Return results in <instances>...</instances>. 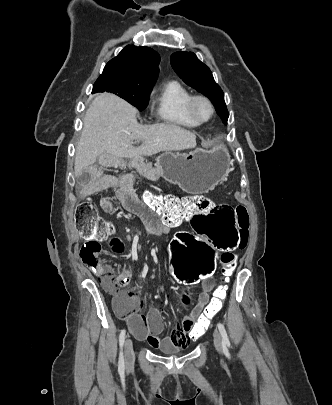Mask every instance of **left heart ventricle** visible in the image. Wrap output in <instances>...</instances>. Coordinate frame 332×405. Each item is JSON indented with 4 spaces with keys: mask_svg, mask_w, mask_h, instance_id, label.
<instances>
[{
    "mask_svg": "<svg viewBox=\"0 0 332 405\" xmlns=\"http://www.w3.org/2000/svg\"><path fill=\"white\" fill-rule=\"evenodd\" d=\"M194 109L196 115L200 119H207L210 116V107L206 102L202 100H198L195 102Z\"/></svg>",
    "mask_w": 332,
    "mask_h": 405,
    "instance_id": "1",
    "label": "left heart ventricle"
}]
</instances>
